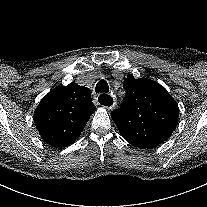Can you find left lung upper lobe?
<instances>
[{"instance_id":"1","label":"left lung upper lobe","mask_w":207,"mask_h":207,"mask_svg":"<svg viewBox=\"0 0 207 207\" xmlns=\"http://www.w3.org/2000/svg\"><path fill=\"white\" fill-rule=\"evenodd\" d=\"M122 106L111 113L122 137L133 146L153 148L166 141L178 124L179 108L153 80L129 75L123 82Z\"/></svg>"}]
</instances>
